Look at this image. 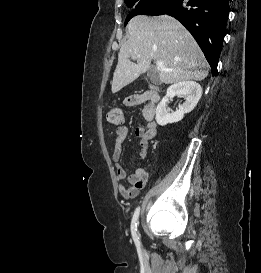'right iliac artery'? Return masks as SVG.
<instances>
[{
    "label": "right iliac artery",
    "mask_w": 261,
    "mask_h": 273,
    "mask_svg": "<svg viewBox=\"0 0 261 273\" xmlns=\"http://www.w3.org/2000/svg\"><path fill=\"white\" fill-rule=\"evenodd\" d=\"M139 213H140V207L136 208L133 218H132V222H131V234H132L133 240L135 242V245L137 247L140 246V241H139V237L137 234V223H138Z\"/></svg>",
    "instance_id": "1"
}]
</instances>
